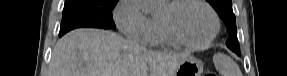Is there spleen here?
Returning a JSON list of instances; mask_svg holds the SVG:
<instances>
[{
    "mask_svg": "<svg viewBox=\"0 0 287 76\" xmlns=\"http://www.w3.org/2000/svg\"><path fill=\"white\" fill-rule=\"evenodd\" d=\"M215 68L223 76H242L239 66L229 56L217 53L213 57Z\"/></svg>",
    "mask_w": 287,
    "mask_h": 76,
    "instance_id": "1",
    "label": "spleen"
}]
</instances>
